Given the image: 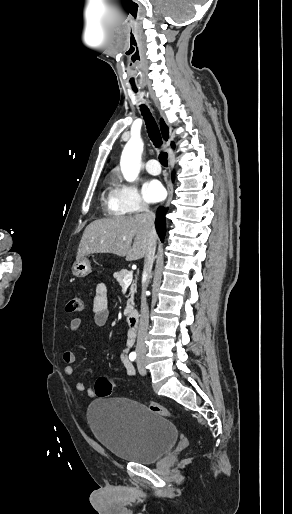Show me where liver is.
<instances>
[{"label":"liver","instance_id":"6515ba94","mask_svg":"<svg viewBox=\"0 0 292 514\" xmlns=\"http://www.w3.org/2000/svg\"><path fill=\"white\" fill-rule=\"evenodd\" d=\"M146 224L147 214L95 220L82 236L77 260L88 254H117L126 256L127 262L141 260L146 256L148 246Z\"/></svg>","mask_w":292,"mask_h":514}]
</instances>
